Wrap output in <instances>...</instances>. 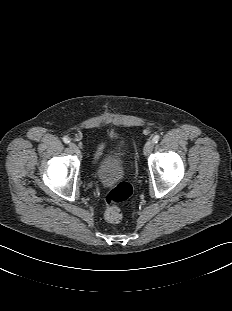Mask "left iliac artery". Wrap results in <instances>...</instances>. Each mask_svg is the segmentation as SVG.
<instances>
[{
    "label": "left iliac artery",
    "mask_w": 232,
    "mask_h": 311,
    "mask_svg": "<svg viewBox=\"0 0 232 311\" xmlns=\"http://www.w3.org/2000/svg\"><path fill=\"white\" fill-rule=\"evenodd\" d=\"M160 139V136L159 135H155L154 138H153V142L154 143H157Z\"/></svg>",
    "instance_id": "1"
}]
</instances>
